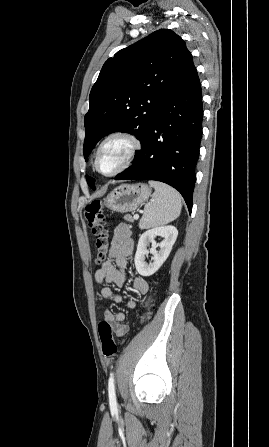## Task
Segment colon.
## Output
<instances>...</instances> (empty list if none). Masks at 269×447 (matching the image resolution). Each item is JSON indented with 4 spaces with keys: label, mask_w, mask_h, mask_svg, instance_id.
I'll list each match as a JSON object with an SVG mask.
<instances>
[{
    "label": "colon",
    "mask_w": 269,
    "mask_h": 447,
    "mask_svg": "<svg viewBox=\"0 0 269 447\" xmlns=\"http://www.w3.org/2000/svg\"><path fill=\"white\" fill-rule=\"evenodd\" d=\"M84 218L88 228L96 235L95 247L97 249L96 261H103L107 255L110 239V224L106 219L103 208L99 203L88 205L84 210ZM156 297L148 301L149 307L155 306ZM138 321L133 322L134 328H139L140 325H146L148 320L141 315ZM98 335L102 344V351L107 357H114L118 354V345L114 340L112 325L106 321L101 320L97 326ZM136 331V330H135ZM136 335V334H135Z\"/></svg>",
    "instance_id": "obj_1"
}]
</instances>
